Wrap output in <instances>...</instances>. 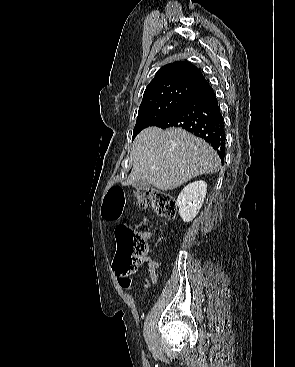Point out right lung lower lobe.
<instances>
[{
    "instance_id": "98d812e1",
    "label": "right lung lower lobe",
    "mask_w": 295,
    "mask_h": 367,
    "mask_svg": "<svg viewBox=\"0 0 295 367\" xmlns=\"http://www.w3.org/2000/svg\"><path fill=\"white\" fill-rule=\"evenodd\" d=\"M161 128L180 127L203 138L218 153L225 156L224 121L216 95L207 84L190 95L169 116L157 123Z\"/></svg>"
}]
</instances>
